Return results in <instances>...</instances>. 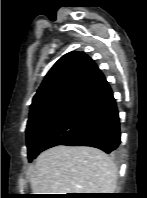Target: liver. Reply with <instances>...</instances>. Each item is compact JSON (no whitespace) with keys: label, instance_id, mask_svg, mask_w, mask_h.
Masks as SVG:
<instances>
[{"label":"liver","instance_id":"6515ba94","mask_svg":"<svg viewBox=\"0 0 147 198\" xmlns=\"http://www.w3.org/2000/svg\"><path fill=\"white\" fill-rule=\"evenodd\" d=\"M28 176L33 194L113 193L117 168L97 148L59 145L42 152Z\"/></svg>","mask_w":147,"mask_h":198}]
</instances>
